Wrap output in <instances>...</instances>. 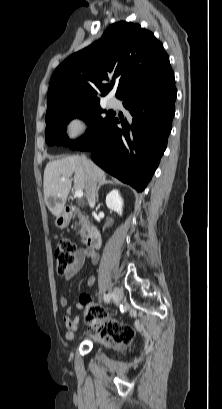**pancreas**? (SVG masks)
Returning a JSON list of instances; mask_svg holds the SVG:
<instances>
[{
    "label": "pancreas",
    "mask_w": 222,
    "mask_h": 409,
    "mask_svg": "<svg viewBox=\"0 0 222 409\" xmlns=\"http://www.w3.org/2000/svg\"><path fill=\"white\" fill-rule=\"evenodd\" d=\"M78 217V222H75L76 226H81V229L79 231L81 238L84 240L86 238V232L88 231V220L85 217V215H83L81 212L77 211L75 212V215Z\"/></svg>",
    "instance_id": "1"
}]
</instances>
